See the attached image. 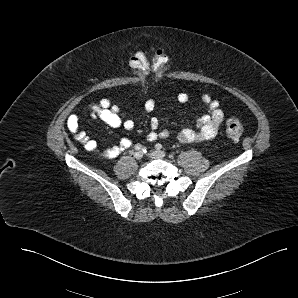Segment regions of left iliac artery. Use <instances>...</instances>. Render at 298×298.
Returning <instances> with one entry per match:
<instances>
[{
	"label": "left iliac artery",
	"mask_w": 298,
	"mask_h": 298,
	"mask_svg": "<svg viewBox=\"0 0 298 298\" xmlns=\"http://www.w3.org/2000/svg\"><path fill=\"white\" fill-rule=\"evenodd\" d=\"M155 148H156L157 150H160V149H162V145H161L160 143H157V144L155 145Z\"/></svg>",
	"instance_id": "obj_1"
}]
</instances>
